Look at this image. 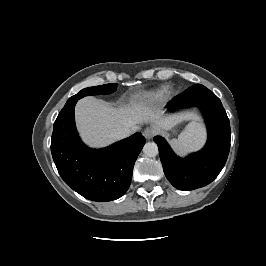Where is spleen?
Returning <instances> with one entry per match:
<instances>
[{"mask_svg": "<svg viewBox=\"0 0 266 266\" xmlns=\"http://www.w3.org/2000/svg\"><path fill=\"white\" fill-rule=\"evenodd\" d=\"M205 142V129L199 122H191L178 139L170 141L173 149L179 154L198 150Z\"/></svg>", "mask_w": 266, "mask_h": 266, "instance_id": "spleen-1", "label": "spleen"}]
</instances>
